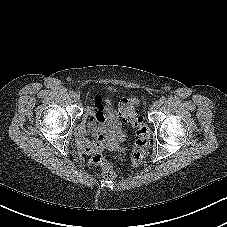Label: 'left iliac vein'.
Returning a JSON list of instances; mask_svg holds the SVG:
<instances>
[{
	"mask_svg": "<svg viewBox=\"0 0 227 227\" xmlns=\"http://www.w3.org/2000/svg\"><path fill=\"white\" fill-rule=\"evenodd\" d=\"M161 106V102L160 101H155L152 105L153 109H158Z\"/></svg>",
	"mask_w": 227,
	"mask_h": 227,
	"instance_id": "4c4485c4",
	"label": "left iliac vein"
}]
</instances>
